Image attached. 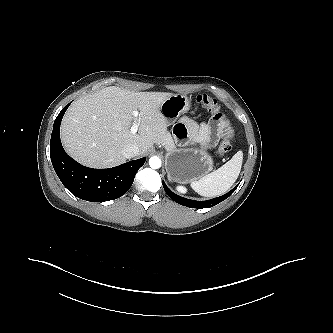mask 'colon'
I'll use <instances>...</instances> for the list:
<instances>
[{
  "label": "colon",
  "instance_id": "obj_1",
  "mask_svg": "<svg viewBox=\"0 0 333 333\" xmlns=\"http://www.w3.org/2000/svg\"><path fill=\"white\" fill-rule=\"evenodd\" d=\"M197 103L208 111L212 112L215 115H220V106L216 99L206 95L200 94L197 97ZM236 128L233 126H229L227 128V136L221 141L218 147V155L224 157L228 152L231 151V137L235 133Z\"/></svg>",
  "mask_w": 333,
  "mask_h": 333
}]
</instances>
